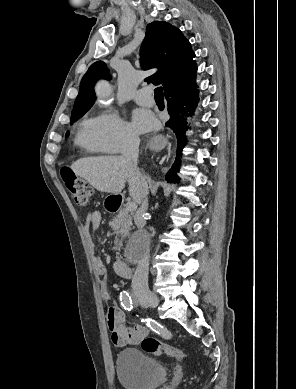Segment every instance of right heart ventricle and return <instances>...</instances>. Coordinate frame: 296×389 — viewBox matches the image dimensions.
Returning a JSON list of instances; mask_svg holds the SVG:
<instances>
[{
    "mask_svg": "<svg viewBox=\"0 0 296 389\" xmlns=\"http://www.w3.org/2000/svg\"><path fill=\"white\" fill-rule=\"evenodd\" d=\"M75 142L90 152L99 153L104 151L97 134L96 118H85L80 122Z\"/></svg>",
    "mask_w": 296,
    "mask_h": 389,
    "instance_id": "right-heart-ventricle-1",
    "label": "right heart ventricle"
}]
</instances>
